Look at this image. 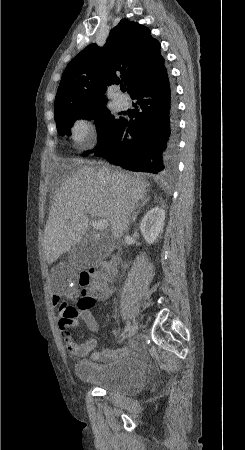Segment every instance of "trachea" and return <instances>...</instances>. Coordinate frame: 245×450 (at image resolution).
I'll use <instances>...</instances> for the list:
<instances>
[{"mask_svg": "<svg viewBox=\"0 0 245 450\" xmlns=\"http://www.w3.org/2000/svg\"><path fill=\"white\" fill-rule=\"evenodd\" d=\"M121 90H122L123 92H125V91H126V87H125V86H121Z\"/></svg>", "mask_w": 245, "mask_h": 450, "instance_id": "obj_1", "label": "trachea"}]
</instances>
